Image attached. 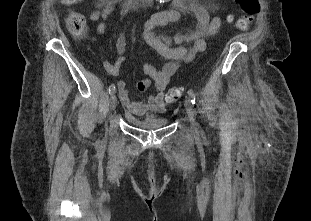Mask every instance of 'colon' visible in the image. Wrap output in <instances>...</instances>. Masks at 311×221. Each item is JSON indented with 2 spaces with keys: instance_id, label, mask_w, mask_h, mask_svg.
I'll return each mask as SVG.
<instances>
[{
  "instance_id": "colon-1",
  "label": "colon",
  "mask_w": 311,
  "mask_h": 221,
  "mask_svg": "<svg viewBox=\"0 0 311 221\" xmlns=\"http://www.w3.org/2000/svg\"><path fill=\"white\" fill-rule=\"evenodd\" d=\"M70 2V3H69ZM68 3L63 5L70 6L71 4H77L78 0H69ZM243 14L238 18L237 21L239 29H245L253 20L254 16L260 11V0H238ZM231 18V16L229 17ZM65 25L67 30L76 38L82 39L86 36L88 31V23L83 14L79 12H70L66 19ZM182 93L181 87H171L165 94V101L167 103H173L177 101Z\"/></svg>"
}]
</instances>
